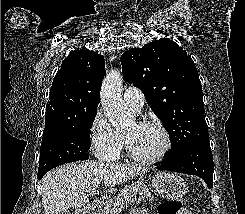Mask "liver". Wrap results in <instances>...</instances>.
Wrapping results in <instances>:
<instances>
[{"label": "liver", "instance_id": "6515ba94", "mask_svg": "<svg viewBox=\"0 0 245 214\" xmlns=\"http://www.w3.org/2000/svg\"><path fill=\"white\" fill-rule=\"evenodd\" d=\"M143 172L140 167L97 161L60 166L42 180L44 214L78 209L88 204L89 192L100 183L111 193L116 186Z\"/></svg>", "mask_w": 245, "mask_h": 214}]
</instances>
